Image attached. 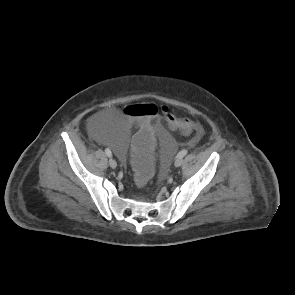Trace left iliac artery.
I'll return each instance as SVG.
<instances>
[{"instance_id":"obj_1","label":"left iliac artery","mask_w":295,"mask_h":295,"mask_svg":"<svg viewBox=\"0 0 295 295\" xmlns=\"http://www.w3.org/2000/svg\"><path fill=\"white\" fill-rule=\"evenodd\" d=\"M187 150H182L177 154V158H182L187 154Z\"/></svg>"}]
</instances>
